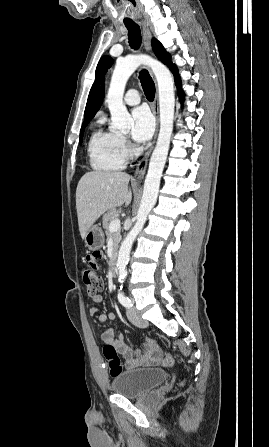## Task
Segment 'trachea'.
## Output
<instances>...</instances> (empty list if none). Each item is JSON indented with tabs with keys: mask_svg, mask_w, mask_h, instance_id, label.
<instances>
[{
	"mask_svg": "<svg viewBox=\"0 0 269 447\" xmlns=\"http://www.w3.org/2000/svg\"><path fill=\"white\" fill-rule=\"evenodd\" d=\"M126 25V28L128 29V40L129 45L131 48H134V50H137L141 46V32L140 28L135 22H124ZM139 79L141 82V85L143 87L144 94L146 95V98L152 102L154 100L155 96V84L150 77L147 70H141L139 74Z\"/></svg>",
	"mask_w": 269,
	"mask_h": 447,
	"instance_id": "3493384b",
	"label": "trachea"
}]
</instances>
